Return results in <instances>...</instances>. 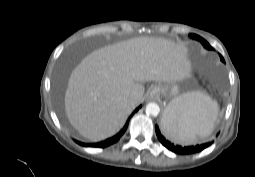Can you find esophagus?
Here are the masks:
<instances>
[{
    "mask_svg": "<svg viewBox=\"0 0 255 177\" xmlns=\"http://www.w3.org/2000/svg\"><path fill=\"white\" fill-rule=\"evenodd\" d=\"M158 94V89L157 88H153L151 91H150V96L151 97H154Z\"/></svg>",
    "mask_w": 255,
    "mask_h": 177,
    "instance_id": "1",
    "label": "esophagus"
}]
</instances>
